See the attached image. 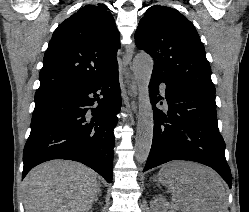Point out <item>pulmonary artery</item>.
I'll return each mask as SVG.
<instances>
[{"instance_id": "obj_1", "label": "pulmonary artery", "mask_w": 249, "mask_h": 212, "mask_svg": "<svg viewBox=\"0 0 249 212\" xmlns=\"http://www.w3.org/2000/svg\"><path fill=\"white\" fill-rule=\"evenodd\" d=\"M160 90H161V93H162V94H164V91H165V86H164V85H162V86L160 87Z\"/></svg>"}]
</instances>
